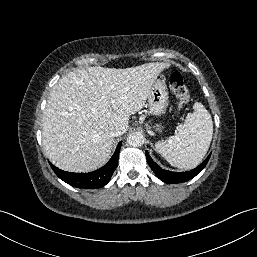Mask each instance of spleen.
Returning a JSON list of instances; mask_svg holds the SVG:
<instances>
[{"label": "spleen", "instance_id": "3e777b00", "mask_svg": "<svg viewBox=\"0 0 257 257\" xmlns=\"http://www.w3.org/2000/svg\"><path fill=\"white\" fill-rule=\"evenodd\" d=\"M179 132L168 141L155 144L157 152L172 166L180 169L196 167L206 155L213 135L210 113L199 102L193 106Z\"/></svg>", "mask_w": 257, "mask_h": 257}]
</instances>
